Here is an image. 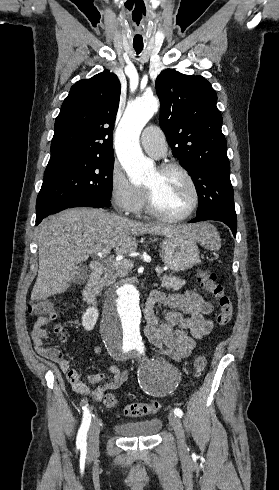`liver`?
<instances>
[{"mask_svg": "<svg viewBox=\"0 0 279 490\" xmlns=\"http://www.w3.org/2000/svg\"><path fill=\"white\" fill-rule=\"evenodd\" d=\"M205 228V222L191 226L141 224L94 208H71L48 216L36 230L39 270L31 300L66 292L79 264L94 254H108L111 248L115 254L136 252L137 234H186L197 240Z\"/></svg>", "mask_w": 279, "mask_h": 490, "instance_id": "liver-1", "label": "liver"}]
</instances>
